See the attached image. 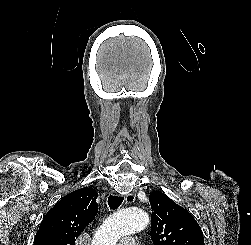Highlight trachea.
<instances>
[{"mask_svg": "<svg viewBox=\"0 0 251 245\" xmlns=\"http://www.w3.org/2000/svg\"><path fill=\"white\" fill-rule=\"evenodd\" d=\"M122 201H123V198L118 197V196L110 195L108 197V205L113 210L117 209L121 205Z\"/></svg>", "mask_w": 251, "mask_h": 245, "instance_id": "obj_1", "label": "trachea"}]
</instances>
